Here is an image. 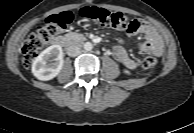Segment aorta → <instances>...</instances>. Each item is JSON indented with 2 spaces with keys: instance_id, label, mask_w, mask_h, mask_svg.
Masks as SVG:
<instances>
[{
  "instance_id": "obj_1",
  "label": "aorta",
  "mask_w": 194,
  "mask_h": 133,
  "mask_svg": "<svg viewBox=\"0 0 194 133\" xmlns=\"http://www.w3.org/2000/svg\"><path fill=\"white\" fill-rule=\"evenodd\" d=\"M92 48H93L92 43L86 42V43L84 44V49H85L86 51H91Z\"/></svg>"
}]
</instances>
